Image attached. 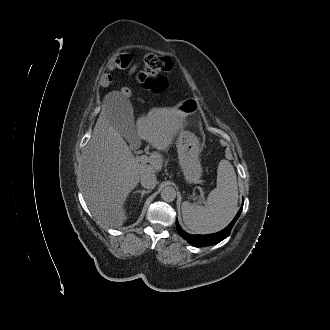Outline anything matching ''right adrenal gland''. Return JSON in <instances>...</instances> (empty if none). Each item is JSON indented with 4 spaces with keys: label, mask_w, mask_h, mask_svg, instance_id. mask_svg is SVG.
<instances>
[{
    "label": "right adrenal gland",
    "mask_w": 330,
    "mask_h": 330,
    "mask_svg": "<svg viewBox=\"0 0 330 330\" xmlns=\"http://www.w3.org/2000/svg\"><path fill=\"white\" fill-rule=\"evenodd\" d=\"M150 190H136L135 193H141V198H143L144 194L150 193Z\"/></svg>",
    "instance_id": "2a0ac1e0"
}]
</instances>
